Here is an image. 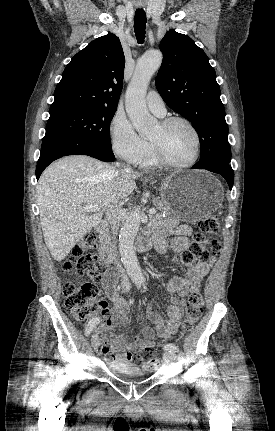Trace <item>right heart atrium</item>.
Returning a JSON list of instances; mask_svg holds the SVG:
<instances>
[{"mask_svg":"<svg viewBox=\"0 0 275 431\" xmlns=\"http://www.w3.org/2000/svg\"><path fill=\"white\" fill-rule=\"evenodd\" d=\"M110 139L114 152L129 163L139 162L149 144L135 131L125 114L117 112L110 123Z\"/></svg>","mask_w":275,"mask_h":431,"instance_id":"1","label":"right heart atrium"}]
</instances>
